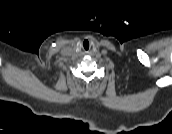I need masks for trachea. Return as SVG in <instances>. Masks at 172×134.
Listing matches in <instances>:
<instances>
[{
	"mask_svg": "<svg viewBox=\"0 0 172 134\" xmlns=\"http://www.w3.org/2000/svg\"><path fill=\"white\" fill-rule=\"evenodd\" d=\"M84 47H87V48L89 47V41L88 40L84 41Z\"/></svg>",
	"mask_w": 172,
	"mask_h": 134,
	"instance_id": "obj_1",
	"label": "trachea"
}]
</instances>
